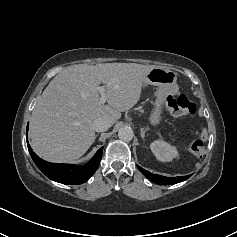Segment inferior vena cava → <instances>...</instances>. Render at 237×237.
<instances>
[{
	"instance_id": "obj_1",
	"label": "inferior vena cava",
	"mask_w": 237,
	"mask_h": 237,
	"mask_svg": "<svg viewBox=\"0 0 237 237\" xmlns=\"http://www.w3.org/2000/svg\"><path fill=\"white\" fill-rule=\"evenodd\" d=\"M109 127H110V123L107 120L103 119V118H97L93 122V129L96 132L107 131Z\"/></svg>"
}]
</instances>
